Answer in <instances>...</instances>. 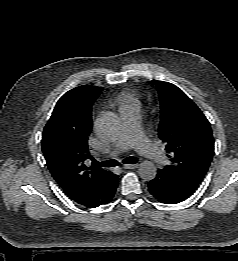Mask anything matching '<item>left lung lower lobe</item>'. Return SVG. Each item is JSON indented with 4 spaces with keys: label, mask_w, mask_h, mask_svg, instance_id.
<instances>
[{
    "label": "left lung lower lobe",
    "mask_w": 238,
    "mask_h": 261,
    "mask_svg": "<svg viewBox=\"0 0 238 261\" xmlns=\"http://www.w3.org/2000/svg\"><path fill=\"white\" fill-rule=\"evenodd\" d=\"M149 192L159 201L175 204L187 199L196 190L177 180L164 169H159L154 179L148 183Z\"/></svg>",
    "instance_id": "1"
}]
</instances>
